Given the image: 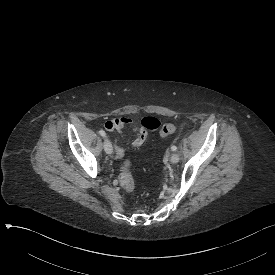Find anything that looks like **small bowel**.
Segmentation results:
<instances>
[{
  "label": "small bowel",
  "mask_w": 275,
  "mask_h": 275,
  "mask_svg": "<svg viewBox=\"0 0 275 275\" xmlns=\"http://www.w3.org/2000/svg\"><path fill=\"white\" fill-rule=\"evenodd\" d=\"M133 119L128 117L118 118V119H107L104 122V129L107 132H111L112 135H117L119 137L125 136V131L121 130L123 128H129L130 132H135L138 134V137L134 140L133 145L135 147H140L144 144L147 134V130H156L159 127V120L156 117L145 116L141 120V126H135L133 124ZM123 151L121 148L117 147L115 149L116 157L122 156Z\"/></svg>",
  "instance_id": "1"
}]
</instances>
